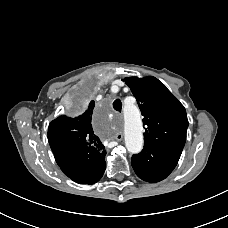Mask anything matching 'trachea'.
<instances>
[{
    "label": "trachea",
    "mask_w": 228,
    "mask_h": 228,
    "mask_svg": "<svg viewBox=\"0 0 228 228\" xmlns=\"http://www.w3.org/2000/svg\"><path fill=\"white\" fill-rule=\"evenodd\" d=\"M113 108L118 111V112H121L122 110V102L120 99H116L114 102H113Z\"/></svg>",
    "instance_id": "3493384b"
}]
</instances>
